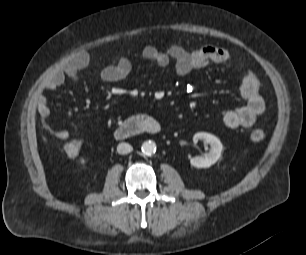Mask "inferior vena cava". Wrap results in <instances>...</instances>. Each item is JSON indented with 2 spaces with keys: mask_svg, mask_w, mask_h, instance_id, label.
Instances as JSON below:
<instances>
[{
  "mask_svg": "<svg viewBox=\"0 0 306 255\" xmlns=\"http://www.w3.org/2000/svg\"><path fill=\"white\" fill-rule=\"evenodd\" d=\"M132 151V146L128 143H120L117 146V152L119 154H128Z\"/></svg>",
  "mask_w": 306,
  "mask_h": 255,
  "instance_id": "inferior-vena-cava-1",
  "label": "inferior vena cava"
}]
</instances>
